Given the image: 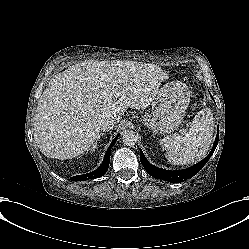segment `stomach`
Wrapping results in <instances>:
<instances>
[{
  "label": "stomach",
  "mask_w": 249,
  "mask_h": 249,
  "mask_svg": "<svg viewBox=\"0 0 249 249\" xmlns=\"http://www.w3.org/2000/svg\"><path fill=\"white\" fill-rule=\"evenodd\" d=\"M190 91L186 85L176 82L160 88L159 104L152 113L142 116V123L154 133H171L182 123L190 102Z\"/></svg>",
  "instance_id": "obj_1"
}]
</instances>
